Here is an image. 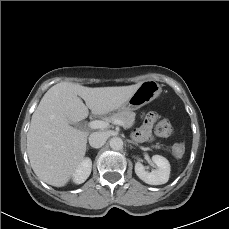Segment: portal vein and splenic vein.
<instances>
[{
  "label": "portal vein and splenic vein",
  "instance_id": "1",
  "mask_svg": "<svg viewBox=\"0 0 229 229\" xmlns=\"http://www.w3.org/2000/svg\"><path fill=\"white\" fill-rule=\"evenodd\" d=\"M113 123L124 127V123L121 120H115ZM88 126L91 129H105L109 126V123L101 120H94L89 122Z\"/></svg>",
  "mask_w": 229,
  "mask_h": 229
}]
</instances>
